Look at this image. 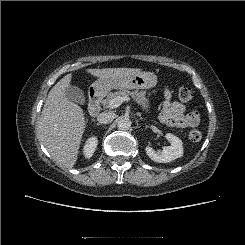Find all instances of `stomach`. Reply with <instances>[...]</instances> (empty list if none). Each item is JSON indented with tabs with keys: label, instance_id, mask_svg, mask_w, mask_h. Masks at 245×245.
I'll return each mask as SVG.
<instances>
[{
	"label": "stomach",
	"instance_id": "1",
	"mask_svg": "<svg viewBox=\"0 0 245 245\" xmlns=\"http://www.w3.org/2000/svg\"><path fill=\"white\" fill-rule=\"evenodd\" d=\"M157 85V76L152 72H139L126 77L99 78L92 87L99 94H105L111 89L132 90L151 89Z\"/></svg>",
	"mask_w": 245,
	"mask_h": 245
}]
</instances>
